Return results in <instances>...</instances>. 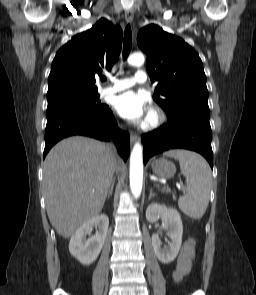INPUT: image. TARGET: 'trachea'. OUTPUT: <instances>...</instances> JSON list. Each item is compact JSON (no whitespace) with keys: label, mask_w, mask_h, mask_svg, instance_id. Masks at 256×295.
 <instances>
[{"label":"trachea","mask_w":256,"mask_h":295,"mask_svg":"<svg viewBox=\"0 0 256 295\" xmlns=\"http://www.w3.org/2000/svg\"><path fill=\"white\" fill-rule=\"evenodd\" d=\"M132 48V34L131 27L128 24L125 28L124 41H123V60H126Z\"/></svg>","instance_id":"1"}]
</instances>
